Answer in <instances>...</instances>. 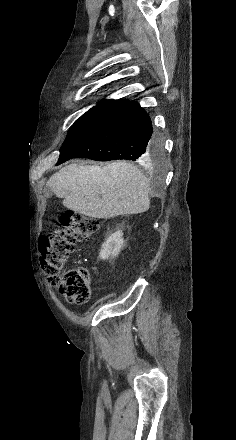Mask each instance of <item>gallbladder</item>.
I'll use <instances>...</instances> for the list:
<instances>
[{"mask_svg": "<svg viewBox=\"0 0 236 440\" xmlns=\"http://www.w3.org/2000/svg\"><path fill=\"white\" fill-rule=\"evenodd\" d=\"M43 195L46 198H51L53 196V191L51 190V188L49 186H45L43 189Z\"/></svg>", "mask_w": 236, "mask_h": 440, "instance_id": "gallbladder-1", "label": "gallbladder"}]
</instances>
